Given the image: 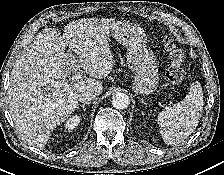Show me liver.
<instances>
[{"label": "liver", "mask_w": 224, "mask_h": 175, "mask_svg": "<svg viewBox=\"0 0 224 175\" xmlns=\"http://www.w3.org/2000/svg\"><path fill=\"white\" fill-rule=\"evenodd\" d=\"M117 23L87 18L65 25L63 35L54 28L36 35L13 66L8 88L9 111L22 139L43 147L54 128L76 110L81 92L101 94L103 85L97 79L113 69L107 36ZM80 69L91 78L74 79Z\"/></svg>", "instance_id": "obj_1"}]
</instances>
